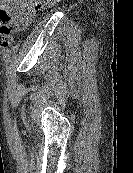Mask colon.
Returning <instances> with one entry per match:
<instances>
[{
  "label": "colon",
  "instance_id": "colon-1",
  "mask_svg": "<svg viewBox=\"0 0 133 173\" xmlns=\"http://www.w3.org/2000/svg\"><path fill=\"white\" fill-rule=\"evenodd\" d=\"M59 0H35L37 9L51 7L58 3ZM12 22L6 10L0 9V47L5 49L12 44Z\"/></svg>",
  "mask_w": 133,
  "mask_h": 173
}]
</instances>
